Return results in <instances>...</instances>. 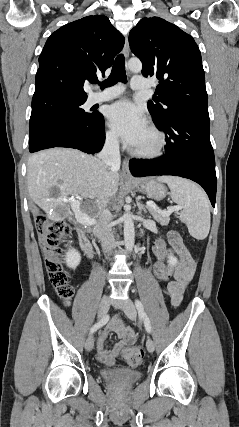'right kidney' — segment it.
<instances>
[{
	"instance_id": "1",
	"label": "right kidney",
	"mask_w": 239,
	"mask_h": 427,
	"mask_svg": "<svg viewBox=\"0 0 239 427\" xmlns=\"http://www.w3.org/2000/svg\"><path fill=\"white\" fill-rule=\"evenodd\" d=\"M66 264L70 268H76L81 262V256L74 248L69 249L65 255Z\"/></svg>"
}]
</instances>
